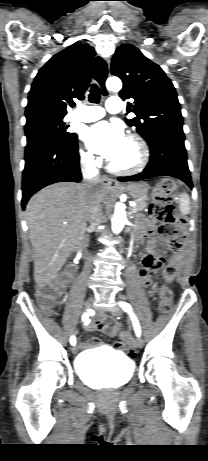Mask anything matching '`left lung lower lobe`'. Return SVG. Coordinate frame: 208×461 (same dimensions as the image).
I'll return each instance as SVG.
<instances>
[{"label": "left lung lower lobe", "instance_id": "0a47b994", "mask_svg": "<svg viewBox=\"0 0 208 461\" xmlns=\"http://www.w3.org/2000/svg\"><path fill=\"white\" fill-rule=\"evenodd\" d=\"M184 133L167 132L154 138L149 144L150 162L142 173L118 177L119 181H139L156 176H172L193 187L184 146Z\"/></svg>", "mask_w": 208, "mask_h": 461}]
</instances>
